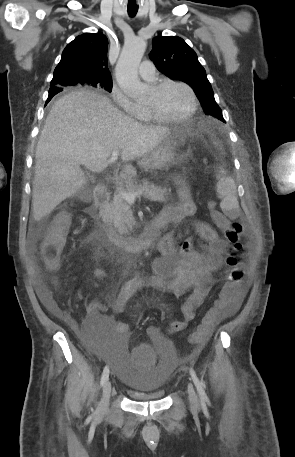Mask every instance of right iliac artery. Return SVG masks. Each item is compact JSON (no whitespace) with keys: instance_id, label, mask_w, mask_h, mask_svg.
<instances>
[{"instance_id":"right-iliac-artery-1","label":"right iliac artery","mask_w":295,"mask_h":457,"mask_svg":"<svg viewBox=\"0 0 295 457\" xmlns=\"http://www.w3.org/2000/svg\"><path fill=\"white\" fill-rule=\"evenodd\" d=\"M108 377H109V368L107 366H105L102 376H101V381H100L101 386L104 385V383L107 381Z\"/></svg>"}]
</instances>
